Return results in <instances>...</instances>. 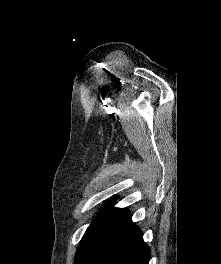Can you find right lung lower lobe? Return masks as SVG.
<instances>
[{
	"label": "right lung lower lobe",
	"instance_id": "obj_1",
	"mask_svg": "<svg viewBox=\"0 0 221 264\" xmlns=\"http://www.w3.org/2000/svg\"><path fill=\"white\" fill-rule=\"evenodd\" d=\"M150 250L126 209L112 208L74 264H148Z\"/></svg>",
	"mask_w": 221,
	"mask_h": 264
}]
</instances>
